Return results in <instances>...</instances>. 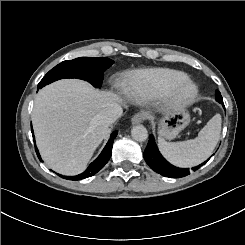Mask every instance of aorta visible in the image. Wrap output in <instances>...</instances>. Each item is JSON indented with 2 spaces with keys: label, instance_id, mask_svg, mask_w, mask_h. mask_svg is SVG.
Here are the masks:
<instances>
[{
  "label": "aorta",
  "instance_id": "762f6f07",
  "mask_svg": "<svg viewBox=\"0 0 245 245\" xmlns=\"http://www.w3.org/2000/svg\"><path fill=\"white\" fill-rule=\"evenodd\" d=\"M131 136L134 140L143 142L148 138V131L144 126L137 125L131 129Z\"/></svg>",
  "mask_w": 245,
  "mask_h": 245
}]
</instances>
